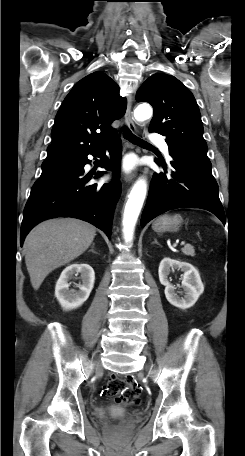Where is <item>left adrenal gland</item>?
Wrapping results in <instances>:
<instances>
[{
    "label": "left adrenal gland",
    "mask_w": 245,
    "mask_h": 456,
    "mask_svg": "<svg viewBox=\"0 0 245 456\" xmlns=\"http://www.w3.org/2000/svg\"><path fill=\"white\" fill-rule=\"evenodd\" d=\"M152 244H157V245H160L157 241V239H154V241L152 242Z\"/></svg>",
    "instance_id": "a2214340"
}]
</instances>
